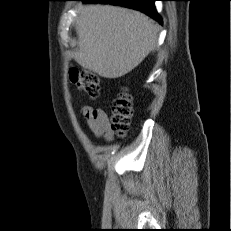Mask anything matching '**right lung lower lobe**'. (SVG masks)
<instances>
[{"mask_svg": "<svg viewBox=\"0 0 231 231\" xmlns=\"http://www.w3.org/2000/svg\"><path fill=\"white\" fill-rule=\"evenodd\" d=\"M83 2L89 3H105V4H113L120 5L132 9L139 10L143 13H146L150 17L161 23V18L158 16L155 7L154 1L156 0H79Z\"/></svg>", "mask_w": 231, "mask_h": 231, "instance_id": "98d812e1", "label": "right lung lower lobe"}]
</instances>
